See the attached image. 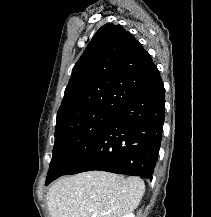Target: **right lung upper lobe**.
I'll use <instances>...</instances> for the list:
<instances>
[{"label":"right lung upper lobe","instance_id":"obj_1","mask_svg":"<svg viewBox=\"0 0 211 217\" xmlns=\"http://www.w3.org/2000/svg\"><path fill=\"white\" fill-rule=\"evenodd\" d=\"M161 79L150 54L120 25H103L73 67L56 125L96 111H118Z\"/></svg>","mask_w":211,"mask_h":217}]
</instances>
